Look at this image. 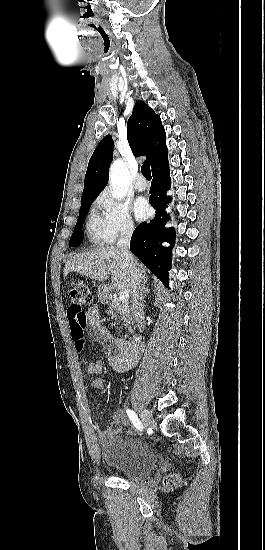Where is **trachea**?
<instances>
[{"label": "trachea", "mask_w": 265, "mask_h": 550, "mask_svg": "<svg viewBox=\"0 0 265 550\" xmlns=\"http://www.w3.org/2000/svg\"><path fill=\"white\" fill-rule=\"evenodd\" d=\"M141 172L142 174L144 175V177L147 179V180H150L152 177H151V170H150V166L148 164H144L142 167H141Z\"/></svg>", "instance_id": "obj_1"}]
</instances>
